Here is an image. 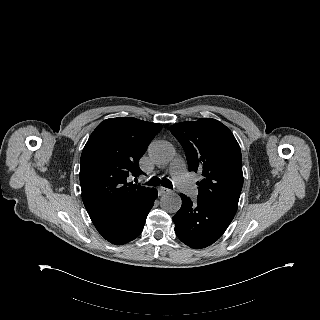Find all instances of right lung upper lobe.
<instances>
[{
  "label": "right lung upper lobe",
  "mask_w": 320,
  "mask_h": 320,
  "mask_svg": "<svg viewBox=\"0 0 320 320\" xmlns=\"http://www.w3.org/2000/svg\"><path fill=\"white\" fill-rule=\"evenodd\" d=\"M161 124L133 117L101 122L89 137L81 155L82 199L91 220L117 213L137 203L149 190L127 182L139 176L143 156Z\"/></svg>",
  "instance_id": "1"
}]
</instances>
